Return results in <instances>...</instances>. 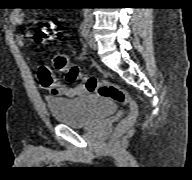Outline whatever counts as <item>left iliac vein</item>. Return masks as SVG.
I'll use <instances>...</instances> for the list:
<instances>
[{
    "mask_svg": "<svg viewBox=\"0 0 192 180\" xmlns=\"http://www.w3.org/2000/svg\"><path fill=\"white\" fill-rule=\"evenodd\" d=\"M86 40L90 48H92L93 50H96L98 48L97 41L95 40L92 32L88 34Z\"/></svg>",
    "mask_w": 192,
    "mask_h": 180,
    "instance_id": "left-iliac-vein-1",
    "label": "left iliac vein"
}]
</instances>
